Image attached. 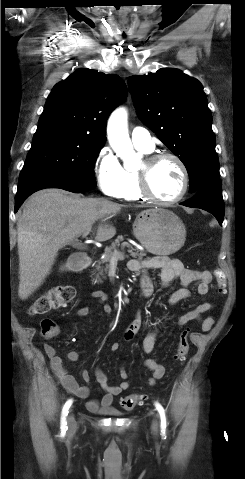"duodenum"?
<instances>
[{
    "label": "duodenum",
    "instance_id": "duodenum-1",
    "mask_svg": "<svg viewBox=\"0 0 245 479\" xmlns=\"http://www.w3.org/2000/svg\"><path fill=\"white\" fill-rule=\"evenodd\" d=\"M91 264V260L88 256H82L77 259H74L72 262L73 268L77 270H81L84 268L89 267Z\"/></svg>",
    "mask_w": 245,
    "mask_h": 479
}]
</instances>
